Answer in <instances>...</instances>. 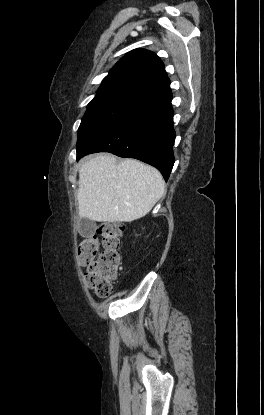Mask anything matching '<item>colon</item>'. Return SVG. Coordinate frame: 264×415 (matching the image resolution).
<instances>
[{"label":"colon","mask_w":264,"mask_h":415,"mask_svg":"<svg viewBox=\"0 0 264 415\" xmlns=\"http://www.w3.org/2000/svg\"><path fill=\"white\" fill-rule=\"evenodd\" d=\"M123 231L119 223L104 224L78 247L79 265L85 269L84 283L98 297L109 296L118 277L121 266L118 250Z\"/></svg>","instance_id":"1"}]
</instances>
